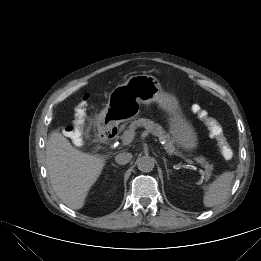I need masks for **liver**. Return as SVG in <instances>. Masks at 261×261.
Here are the masks:
<instances>
[{
	"mask_svg": "<svg viewBox=\"0 0 261 261\" xmlns=\"http://www.w3.org/2000/svg\"><path fill=\"white\" fill-rule=\"evenodd\" d=\"M106 157L84 153L60 133H52L46 144V165L52 187L68 207L78 210L106 163Z\"/></svg>",
	"mask_w": 261,
	"mask_h": 261,
	"instance_id": "1",
	"label": "liver"
}]
</instances>
